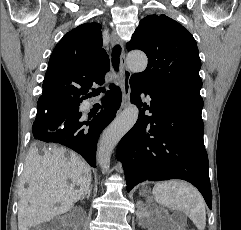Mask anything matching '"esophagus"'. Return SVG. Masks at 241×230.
Returning a JSON list of instances; mask_svg holds the SVG:
<instances>
[{"label": "esophagus", "instance_id": "obj_1", "mask_svg": "<svg viewBox=\"0 0 241 230\" xmlns=\"http://www.w3.org/2000/svg\"><path fill=\"white\" fill-rule=\"evenodd\" d=\"M111 47H114L116 44L122 45L120 38L113 33L110 39ZM120 69H121V85H122V102L121 109L127 107L130 103V77L131 72L126 64L125 53L121 52L120 55Z\"/></svg>", "mask_w": 241, "mask_h": 230}]
</instances>
